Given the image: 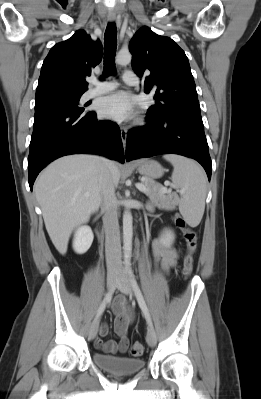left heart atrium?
<instances>
[{"label": "left heart atrium", "instance_id": "1", "mask_svg": "<svg viewBox=\"0 0 261 399\" xmlns=\"http://www.w3.org/2000/svg\"><path fill=\"white\" fill-rule=\"evenodd\" d=\"M97 109L103 117L115 121L128 120L134 114L131 98L125 92H116L101 98Z\"/></svg>", "mask_w": 261, "mask_h": 399}]
</instances>
